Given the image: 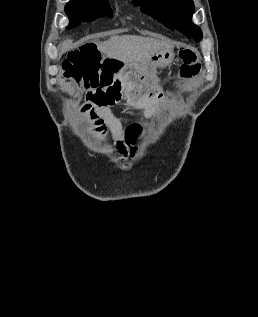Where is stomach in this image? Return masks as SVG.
Instances as JSON below:
<instances>
[{"mask_svg":"<svg viewBox=\"0 0 258 317\" xmlns=\"http://www.w3.org/2000/svg\"><path fill=\"white\" fill-rule=\"evenodd\" d=\"M174 56V50H158V52L151 54L149 60L141 62V64H139V62H129V64L125 62V68L126 70H132L140 82L147 84V82H149V74L155 72L158 66L163 68V66L170 64V62L174 60Z\"/></svg>","mask_w":258,"mask_h":317,"instance_id":"obj_1","label":"stomach"}]
</instances>
